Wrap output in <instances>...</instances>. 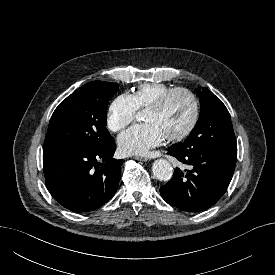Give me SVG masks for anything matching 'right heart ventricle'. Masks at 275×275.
<instances>
[{"mask_svg":"<svg viewBox=\"0 0 275 275\" xmlns=\"http://www.w3.org/2000/svg\"><path fill=\"white\" fill-rule=\"evenodd\" d=\"M170 89L163 83H143L134 89L131 96L137 108L145 110Z\"/></svg>","mask_w":275,"mask_h":275,"instance_id":"right-heart-ventricle-1","label":"right heart ventricle"}]
</instances>
